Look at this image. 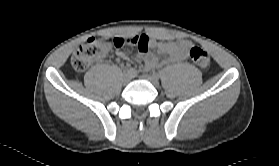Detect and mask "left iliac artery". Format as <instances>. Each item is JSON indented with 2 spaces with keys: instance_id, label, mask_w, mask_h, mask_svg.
Segmentation results:
<instances>
[{
  "instance_id": "1",
  "label": "left iliac artery",
  "mask_w": 279,
  "mask_h": 166,
  "mask_svg": "<svg viewBox=\"0 0 279 166\" xmlns=\"http://www.w3.org/2000/svg\"><path fill=\"white\" fill-rule=\"evenodd\" d=\"M153 75H155V76L159 77V74H157V73H153Z\"/></svg>"
}]
</instances>
